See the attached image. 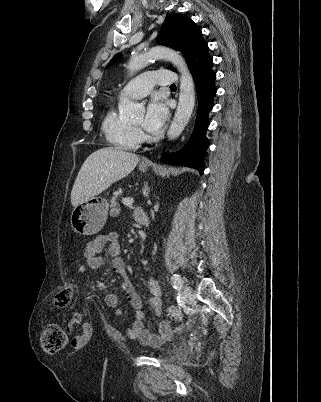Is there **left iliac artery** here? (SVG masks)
Returning <instances> with one entry per match:
<instances>
[{"label": "left iliac artery", "mask_w": 321, "mask_h": 402, "mask_svg": "<svg viewBox=\"0 0 321 402\" xmlns=\"http://www.w3.org/2000/svg\"><path fill=\"white\" fill-rule=\"evenodd\" d=\"M172 283H173V287L176 290H181L182 286H183V281L181 279V277L178 274H174L171 278Z\"/></svg>", "instance_id": "1"}]
</instances>
